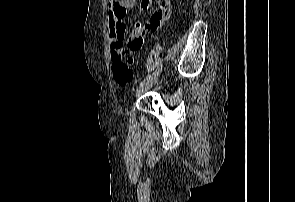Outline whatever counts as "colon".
Listing matches in <instances>:
<instances>
[{"label":"colon","mask_w":295,"mask_h":202,"mask_svg":"<svg viewBox=\"0 0 295 202\" xmlns=\"http://www.w3.org/2000/svg\"><path fill=\"white\" fill-rule=\"evenodd\" d=\"M126 56L127 52L120 50L115 53L112 60L113 78L119 86H127L133 79V73L129 65L130 60Z\"/></svg>","instance_id":"obj_1"}]
</instances>
